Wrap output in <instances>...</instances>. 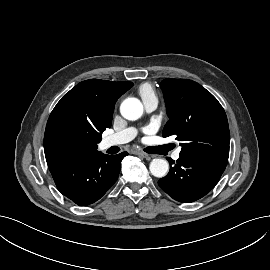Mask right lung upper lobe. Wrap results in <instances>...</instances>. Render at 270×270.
Here are the masks:
<instances>
[{
  "mask_svg": "<svg viewBox=\"0 0 270 270\" xmlns=\"http://www.w3.org/2000/svg\"><path fill=\"white\" fill-rule=\"evenodd\" d=\"M131 82L89 79L66 93L51 112L44 135L48 166L62 159L78 158L97 152L102 132L110 128L116 100L132 87ZM73 128L92 136V141L77 153H63L56 145L59 132Z\"/></svg>",
  "mask_w": 270,
  "mask_h": 270,
  "instance_id": "right-lung-upper-lobe-1",
  "label": "right lung upper lobe"
}]
</instances>
